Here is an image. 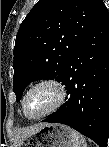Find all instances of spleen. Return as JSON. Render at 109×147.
<instances>
[{
    "mask_svg": "<svg viewBox=\"0 0 109 147\" xmlns=\"http://www.w3.org/2000/svg\"><path fill=\"white\" fill-rule=\"evenodd\" d=\"M71 147H87L85 138L75 130L71 131Z\"/></svg>",
    "mask_w": 109,
    "mask_h": 147,
    "instance_id": "1",
    "label": "spleen"
}]
</instances>
